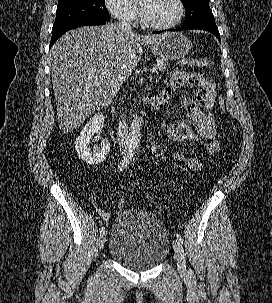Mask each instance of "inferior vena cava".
<instances>
[{
    "mask_svg": "<svg viewBox=\"0 0 272 303\" xmlns=\"http://www.w3.org/2000/svg\"><path fill=\"white\" fill-rule=\"evenodd\" d=\"M118 24L121 27L122 32H124V33L132 32L131 25L127 19H123V20L119 21ZM120 80L122 81L123 79L120 78ZM117 141L119 144L120 151L123 154H125L128 151L130 135L128 132V125H127L125 119L123 118V115L121 116V119H119V122H118Z\"/></svg>",
    "mask_w": 272,
    "mask_h": 303,
    "instance_id": "obj_1",
    "label": "inferior vena cava"
}]
</instances>
